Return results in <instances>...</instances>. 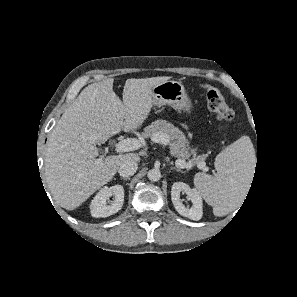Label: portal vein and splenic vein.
<instances>
[{
    "label": "portal vein and splenic vein",
    "instance_id": "obj_1",
    "mask_svg": "<svg viewBox=\"0 0 297 297\" xmlns=\"http://www.w3.org/2000/svg\"><path fill=\"white\" fill-rule=\"evenodd\" d=\"M152 141L155 143H160L162 145H169L170 141L168 139V136L163 133H155L152 137ZM141 147V143L138 139L135 138H127L122 141H120L116 145V151L117 152H128V151H134ZM101 159H97L96 163H100ZM176 164L180 165L183 168L190 169L193 166L192 162H185L182 159L176 160ZM200 169L205 168V165L203 163H200L198 165Z\"/></svg>",
    "mask_w": 297,
    "mask_h": 297
}]
</instances>
